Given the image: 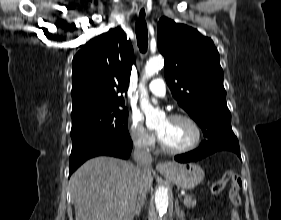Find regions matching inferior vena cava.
<instances>
[{
    "label": "inferior vena cava",
    "instance_id": "602c4592",
    "mask_svg": "<svg viewBox=\"0 0 281 220\" xmlns=\"http://www.w3.org/2000/svg\"><path fill=\"white\" fill-rule=\"evenodd\" d=\"M133 157L137 163L136 186H137L138 194L139 197L142 196L145 198L146 193L149 191L151 187V182L149 181V177L151 176L152 156L142 144L136 143Z\"/></svg>",
    "mask_w": 281,
    "mask_h": 220
}]
</instances>
